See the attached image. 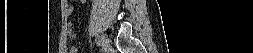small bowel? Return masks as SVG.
<instances>
[{"mask_svg":"<svg viewBox=\"0 0 253 53\" xmlns=\"http://www.w3.org/2000/svg\"><path fill=\"white\" fill-rule=\"evenodd\" d=\"M67 31H68V35H69V37L71 39H75L76 38L77 34H76V32L74 30V27L72 25H68Z\"/></svg>","mask_w":253,"mask_h":53,"instance_id":"small-bowel-1","label":"small bowel"}]
</instances>
